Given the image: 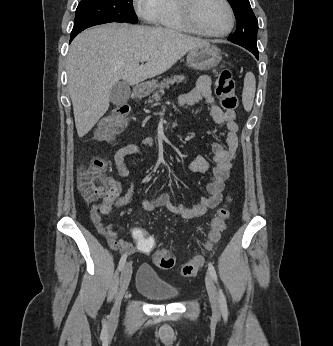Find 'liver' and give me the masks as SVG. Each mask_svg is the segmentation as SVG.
<instances>
[{"label":"liver","mask_w":333,"mask_h":346,"mask_svg":"<svg viewBox=\"0 0 333 346\" xmlns=\"http://www.w3.org/2000/svg\"><path fill=\"white\" fill-rule=\"evenodd\" d=\"M206 44L172 29L121 23L80 33L67 55L68 89L78 136L86 135L107 112L110 89L119 80L138 85ZM143 56L149 59L140 65Z\"/></svg>","instance_id":"1"}]
</instances>
